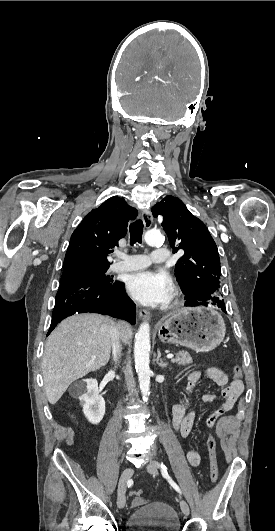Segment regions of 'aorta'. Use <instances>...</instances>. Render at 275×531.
I'll use <instances>...</instances> for the list:
<instances>
[{
  "instance_id": "762f6f07",
  "label": "aorta",
  "mask_w": 275,
  "mask_h": 531,
  "mask_svg": "<svg viewBox=\"0 0 275 531\" xmlns=\"http://www.w3.org/2000/svg\"><path fill=\"white\" fill-rule=\"evenodd\" d=\"M147 245L154 247L160 239H162L161 233L158 231H147L144 237ZM150 325L149 323H142L136 333L134 343V359L135 369L138 373V381L140 385V391L144 401H147L150 395V377L151 371L149 367L150 363Z\"/></svg>"
}]
</instances>
